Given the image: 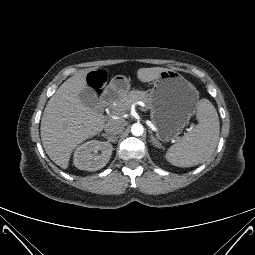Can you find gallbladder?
<instances>
[{
	"label": "gallbladder",
	"mask_w": 255,
	"mask_h": 255,
	"mask_svg": "<svg viewBox=\"0 0 255 255\" xmlns=\"http://www.w3.org/2000/svg\"><path fill=\"white\" fill-rule=\"evenodd\" d=\"M80 99L84 106L94 109L97 106L98 98L91 89H84L80 93Z\"/></svg>",
	"instance_id": "gallbladder-1"
}]
</instances>
